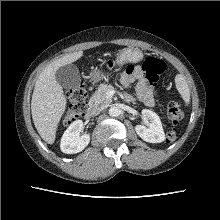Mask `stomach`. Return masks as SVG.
Listing matches in <instances>:
<instances>
[{"label":"stomach","instance_id":"obj_1","mask_svg":"<svg viewBox=\"0 0 220 220\" xmlns=\"http://www.w3.org/2000/svg\"><path fill=\"white\" fill-rule=\"evenodd\" d=\"M142 58L143 54L139 49L127 48L117 55L116 64L122 66L125 63H137L142 60ZM91 78L93 81H99L103 78V74L100 71H94L91 74Z\"/></svg>","mask_w":220,"mask_h":220}]
</instances>
